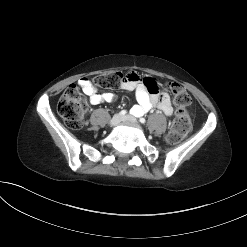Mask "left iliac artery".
I'll return each mask as SVG.
<instances>
[{"instance_id": "44dca946", "label": "left iliac artery", "mask_w": 247, "mask_h": 247, "mask_svg": "<svg viewBox=\"0 0 247 247\" xmlns=\"http://www.w3.org/2000/svg\"><path fill=\"white\" fill-rule=\"evenodd\" d=\"M142 124H144L146 122L145 118H140L139 120Z\"/></svg>"}]
</instances>
